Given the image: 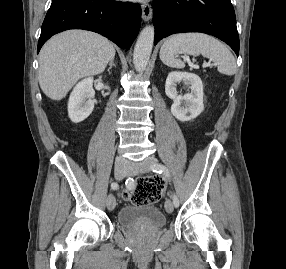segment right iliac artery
<instances>
[{
    "instance_id": "1",
    "label": "right iliac artery",
    "mask_w": 286,
    "mask_h": 269,
    "mask_svg": "<svg viewBox=\"0 0 286 269\" xmlns=\"http://www.w3.org/2000/svg\"><path fill=\"white\" fill-rule=\"evenodd\" d=\"M125 184H126L127 188H132V187L134 186V180H133V178H130V177H129V178L126 180ZM111 188L114 189V190L117 189V188H118V184L115 183V182H113V183L111 184Z\"/></svg>"
}]
</instances>
